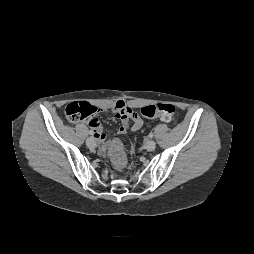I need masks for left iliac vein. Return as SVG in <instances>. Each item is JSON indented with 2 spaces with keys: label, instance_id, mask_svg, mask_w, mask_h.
Masks as SVG:
<instances>
[{
  "label": "left iliac vein",
  "instance_id": "1",
  "mask_svg": "<svg viewBox=\"0 0 254 254\" xmlns=\"http://www.w3.org/2000/svg\"><path fill=\"white\" fill-rule=\"evenodd\" d=\"M156 147V142L152 139L147 140L146 144H145V148L148 151H153Z\"/></svg>",
  "mask_w": 254,
  "mask_h": 254
}]
</instances>
